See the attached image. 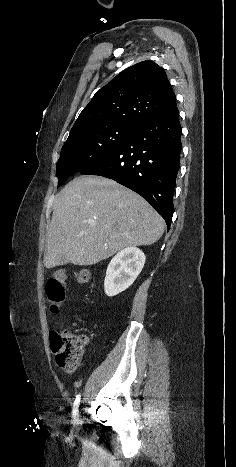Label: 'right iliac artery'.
Masks as SVG:
<instances>
[{
    "mask_svg": "<svg viewBox=\"0 0 236 467\" xmlns=\"http://www.w3.org/2000/svg\"><path fill=\"white\" fill-rule=\"evenodd\" d=\"M79 404H80V394L76 397L75 401H74V404H73V410H72V414L73 416L75 417L78 413V407H79Z\"/></svg>",
    "mask_w": 236,
    "mask_h": 467,
    "instance_id": "1",
    "label": "right iliac artery"
}]
</instances>
